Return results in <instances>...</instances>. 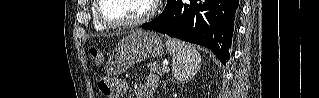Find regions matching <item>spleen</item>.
Masks as SVG:
<instances>
[{
	"mask_svg": "<svg viewBox=\"0 0 319 98\" xmlns=\"http://www.w3.org/2000/svg\"><path fill=\"white\" fill-rule=\"evenodd\" d=\"M166 46L172 54L173 76L180 81L192 78L201 63V56L192 45L168 38Z\"/></svg>",
	"mask_w": 319,
	"mask_h": 98,
	"instance_id": "obj_1",
	"label": "spleen"
}]
</instances>
